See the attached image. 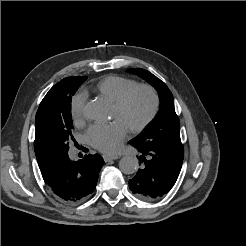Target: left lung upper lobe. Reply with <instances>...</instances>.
Segmentation results:
<instances>
[{
    "mask_svg": "<svg viewBox=\"0 0 246 246\" xmlns=\"http://www.w3.org/2000/svg\"><path fill=\"white\" fill-rule=\"evenodd\" d=\"M154 86L160 98V109L147 129L129 143L136 148H160L176 154H183L184 149L180 139V123L174 108L173 95L169 88L159 78L149 71L140 68L128 70Z\"/></svg>",
    "mask_w": 246,
    "mask_h": 246,
    "instance_id": "1",
    "label": "left lung upper lobe"
}]
</instances>
